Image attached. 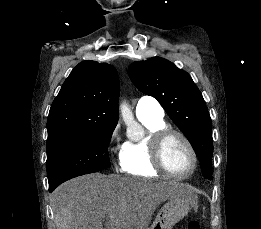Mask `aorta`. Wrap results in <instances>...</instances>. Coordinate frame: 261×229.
<instances>
[{
  "instance_id": "obj_1",
  "label": "aorta",
  "mask_w": 261,
  "mask_h": 229,
  "mask_svg": "<svg viewBox=\"0 0 261 229\" xmlns=\"http://www.w3.org/2000/svg\"><path fill=\"white\" fill-rule=\"evenodd\" d=\"M120 112H121L122 121H124L127 127V131H132V135H134L133 129L135 125H137V123L134 119L133 112L131 108H129V104H127V102H121ZM137 135L139 139H143L144 137V133H140V131H138Z\"/></svg>"
}]
</instances>
